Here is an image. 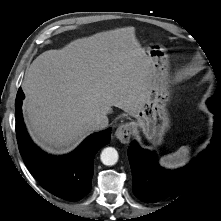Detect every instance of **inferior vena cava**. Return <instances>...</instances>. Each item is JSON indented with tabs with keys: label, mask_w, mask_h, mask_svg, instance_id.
<instances>
[{
	"label": "inferior vena cava",
	"mask_w": 221,
	"mask_h": 221,
	"mask_svg": "<svg viewBox=\"0 0 221 221\" xmlns=\"http://www.w3.org/2000/svg\"><path fill=\"white\" fill-rule=\"evenodd\" d=\"M108 117L105 113L96 114L90 121V126L93 130H101L108 126Z\"/></svg>",
	"instance_id": "1"
}]
</instances>
